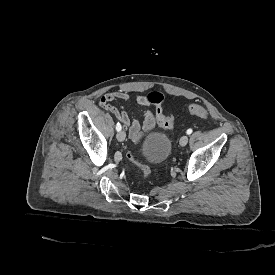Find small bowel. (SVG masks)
<instances>
[{
    "mask_svg": "<svg viewBox=\"0 0 275 275\" xmlns=\"http://www.w3.org/2000/svg\"><path fill=\"white\" fill-rule=\"evenodd\" d=\"M130 95L128 91L118 90L112 91L105 95H102L98 100V105L114 115L122 124L128 126V137L133 142L141 141L147 134H149L153 127L155 118L152 111L149 109L150 102L147 96L143 94H137L135 96V102L141 109L143 122L141 123L137 118H130L128 113L122 109H119L114 105L116 101H129Z\"/></svg>",
    "mask_w": 275,
    "mask_h": 275,
    "instance_id": "small-bowel-1",
    "label": "small bowel"
}]
</instances>
